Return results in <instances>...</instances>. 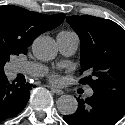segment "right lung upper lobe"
Instances as JSON below:
<instances>
[{
	"label": "right lung upper lobe",
	"mask_w": 125,
	"mask_h": 125,
	"mask_svg": "<svg viewBox=\"0 0 125 125\" xmlns=\"http://www.w3.org/2000/svg\"><path fill=\"white\" fill-rule=\"evenodd\" d=\"M65 14L44 15L17 6H0V62L26 54L34 39L59 26Z\"/></svg>",
	"instance_id": "1"
}]
</instances>
